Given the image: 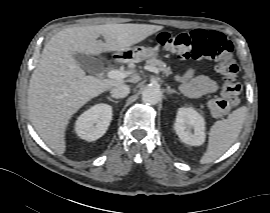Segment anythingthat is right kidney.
<instances>
[{
	"label": "right kidney",
	"mask_w": 270,
	"mask_h": 213,
	"mask_svg": "<svg viewBox=\"0 0 270 213\" xmlns=\"http://www.w3.org/2000/svg\"><path fill=\"white\" fill-rule=\"evenodd\" d=\"M111 120L112 107L107 104H97L78 117L75 131L80 138L94 141L105 134Z\"/></svg>",
	"instance_id": "right-kidney-1"
}]
</instances>
